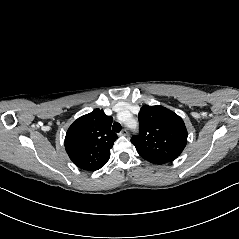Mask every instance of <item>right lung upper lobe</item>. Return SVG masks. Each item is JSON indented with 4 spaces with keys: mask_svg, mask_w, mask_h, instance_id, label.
Returning <instances> with one entry per match:
<instances>
[{
    "mask_svg": "<svg viewBox=\"0 0 239 239\" xmlns=\"http://www.w3.org/2000/svg\"><path fill=\"white\" fill-rule=\"evenodd\" d=\"M111 123L110 116L95 109L69 128L65 148L78 167L93 171L108 161L110 149L117 138L110 129Z\"/></svg>",
    "mask_w": 239,
    "mask_h": 239,
    "instance_id": "1",
    "label": "right lung upper lobe"
}]
</instances>
